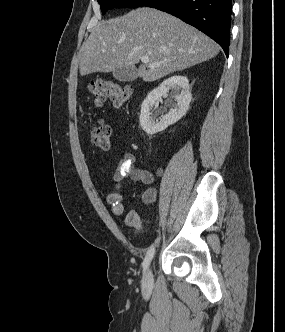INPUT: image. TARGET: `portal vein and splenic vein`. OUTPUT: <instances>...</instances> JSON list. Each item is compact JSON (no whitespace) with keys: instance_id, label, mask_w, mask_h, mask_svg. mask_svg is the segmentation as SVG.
<instances>
[{"instance_id":"18ae733b","label":"portal vein and splenic vein","mask_w":285,"mask_h":332,"mask_svg":"<svg viewBox=\"0 0 285 332\" xmlns=\"http://www.w3.org/2000/svg\"><path fill=\"white\" fill-rule=\"evenodd\" d=\"M141 61H142V63H148L149 62V58L147 56L146 57H142ZM158 66H160V64L152 63V64L149 65L150 68H155V67H158Z\"/></svg>"}]
</instances>
